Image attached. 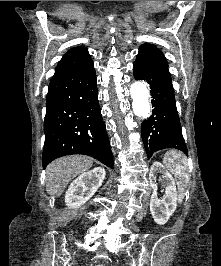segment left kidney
Segmentation results:
<instances>
[{
    "label": "left kidney",
    "instance_id": "1",
    "mask_svg": "<svg viewBox=\"0 0 221 266\" xmlns=\"http://www.w3.org/2000/svg\"><path fill=\"white\" fill-rule=\"evenodd\" d=\"M157 173L163 174L166 183L165 196L163 199L157 197ZM149 180L150 185L153 188V193L150 199V212L157 224L164 225L176 210L178 199L176 184L172 175L158 161H155L151 166Z\"/></svg>",
    "mask_w": 221,
    "mask_h": 266
}]
</instances>
